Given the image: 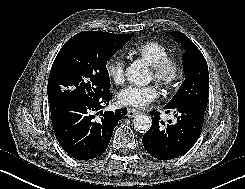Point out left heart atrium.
I'll use <instances>...</instances> for the list:
<instances>
[{
    "label": "left heart atrium",
    "instance_id": "obj_1",
    "mask_svg": "<svg viewBox=\"0 0 245 189\" xmlns=\"http://www.w3.org/2000/svg\"><path fill=\"white\" fill-rule=\"evenodd\" d=\"M159 95L157 87L154 85L135 86L129 85L121 89L118 93V101L123 106L143 107L154 101Z\"/></svg>",
    "mask_w": 245,
    "mask_h": 189
}]
</instances>
